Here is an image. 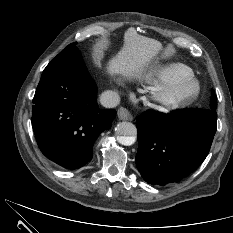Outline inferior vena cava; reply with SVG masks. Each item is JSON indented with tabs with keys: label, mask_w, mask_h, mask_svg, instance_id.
Here are the masks:
<instances>
[{
	"label": "inferior vena cava",
	"mask_w": 233,
	"mask_h": 233,
	"mask_svg": "<svg viewBox=\"0 0 233 233\" xmlns=\"http://www.w3.org/2000/svg\"><path fill=\"white\" fill-rule=\"evenodd\" d=\"M100 103L106 108H114L120 103V96L115 91L107 90L101 94Z\"/></svg>",
	"instance_id": "602c4592"
}]
</instances>
